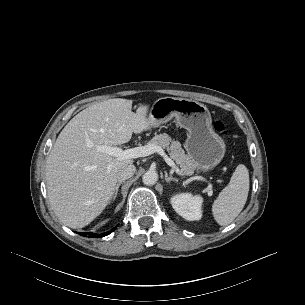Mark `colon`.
Listing matches in <instances>:
<instances>
[{"instance_id": "5ec220e1", "label": "colon", "mask_w": 305, "mask_h": 305, "mask_svg": "<svg viewBox=\"0 0 305 305\" xmlns=\"http://www.w3.org/2000/svg\"><path fill=\"white\" fill-rule=\"evenodd\" d=\"M214 129L225 136L228 134L224 123L220 120L214 122Z\"/></svg>"}]
</instances>
